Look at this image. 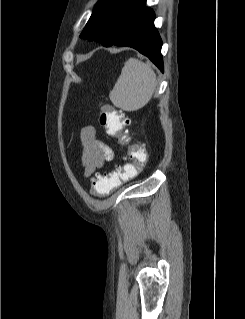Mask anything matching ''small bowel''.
<instances>
[{
	"label": "small bowel",
	"mask_w": 245,
	"mask_h": 319,
	"mask_svg": "<svg viewBox=\"0 0 245 319\" xmlns=\"http://www.w3.org/2000/svg\"><path fill=\"white\" fill-rule=\"evenodd\" d=\"M82 163L85 174L91 175L97 169L104 166L106 162L113 159L112 149L98 137L94 126H85L81 131Z\"/></svg>",
	"instance_id": "c3829d8e"
}]
</instances>
